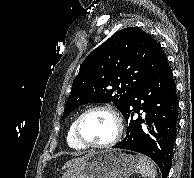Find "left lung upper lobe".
Returning <instances> with one entry per match:
<instances>
[{"label": "left lung upper lobe", "instance_id": "obj_1", "mask_svg": "<svg viewBox=\"0 0 194 178\" xmlns=\"http://www.w3.org/2000/svg\"><path fill=\"white\" fill-rule=\"evenodd\" d=\"M166 63L159 43L140 28L117 31L83 61L61 119L85 103L113 102L122 112L130 94Z\"/></svg>", "mask_w": 194, "mask_h": 178}]
</instances>
